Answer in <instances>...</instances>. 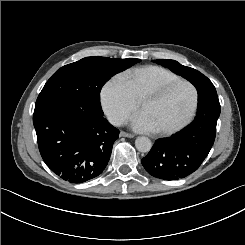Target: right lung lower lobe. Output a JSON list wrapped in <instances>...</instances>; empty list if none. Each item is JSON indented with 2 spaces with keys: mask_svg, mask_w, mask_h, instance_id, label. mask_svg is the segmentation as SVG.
<instances>
[{
  "mask_svg": "<svg viewBox=\"0 0 245 245\" xmlns=\"http://www.w3.org/2000/svg\"><path fill=\"white\" fill-rule=\"evenodd\" d=\"M33 124L41 156L60 178L82 183L106 167L119 130L103 116L73 105H49L34 110Z\"/></svg>",
  "mask_w": 245,
  "mask_h": 245,
  "instance_id": "1",
  "label": "right lung lower lobe"
}]
</instances>
